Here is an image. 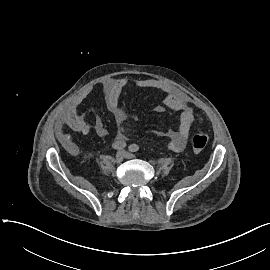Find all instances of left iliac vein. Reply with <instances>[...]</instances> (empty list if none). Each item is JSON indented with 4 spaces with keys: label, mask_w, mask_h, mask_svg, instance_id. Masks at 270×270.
I'll use <instances>...</instances> for the list:
<instances>
[{
    "label": "left iliac vein",
    "mask_w": 270,
    "mask_h": 270,
    "mask_svg": "<svg viewBox=\"0 0 270 270\" xmlns=\"http://www.w3.org/2000/svg\"><path fill=\"white\" fill-rule=\"evenodd\" d=\"M124 153H125V158H127V159H131L134 157V155L129 153V152H124Z\"/></svg>",
    "instance_id": "1"
}]
</instances>
